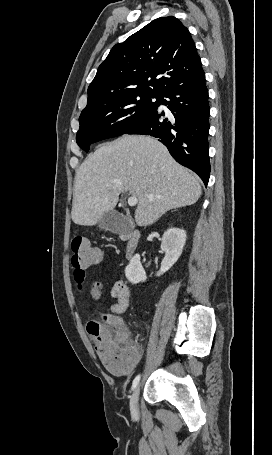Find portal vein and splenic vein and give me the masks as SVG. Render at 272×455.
<instances>
[{"label": "portal vein and splenic vein", "mask_w": 272, "mask_h": 455, "mask_svg": "<svg viewBox=\"0 0 272 455\" xmlns=\"http://www.w3.org/2000/svg\"><path fill=\"white\" fill-rule=\"evenodd\" d=\"M137 203H138V200H137V198H136L135 196H130V197L128 198V205H129V206L133 207V206H135Z\"/></svg>", "instance_id": "portal-vein-and-splenic-vein-1"}]
</instances>
